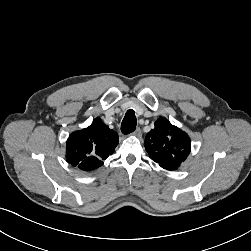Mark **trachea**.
<instances>
[{"label":"trachea","mask_w":251,"mask_h":251,"mask_svg":"<svg viewBox=\"0 0 251 251\" xmlns=\"http://www.w3.org/2000/svg\"><path fill=\"white\" fill-rule=\"evenodd\" d=\"M136 129V116L133 110H128L122 123L121 131L123 134H130Z\"/></svg>","instance_id":"3493384b"}]
</instances>
